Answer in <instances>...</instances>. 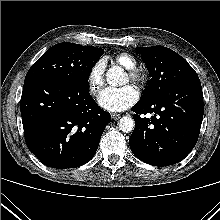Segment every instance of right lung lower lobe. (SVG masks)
Here are the masks:
<instances>
[{"label":"right lung lower lobe","instance_id":"right-lung-lower-lobe-1","mask_svg":"<svg viewBox=\"0 0 220 220\" xmlns=\"http://www.w3.org/2000/svg\"><path fill=\"white\" fill-rule=\"evenodd\" d=\"M21 116L29 150L57 169L90 161L111 121L90 95L89 85L51 79L24 82Z\"/></svg>","mask_w":220,"mask_h":220}]
</instances>
